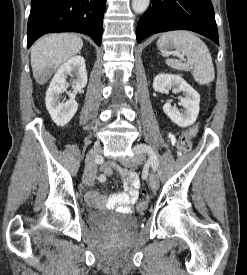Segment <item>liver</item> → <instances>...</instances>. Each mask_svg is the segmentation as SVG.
Here are the masks:
<instances>
[{"mask_svg": "<svg viewBox=\"0 0 247 275\" xmlns=\"http://www.w3.org/2000/svg\"><path fill=\"white\" fill-rule=\"evenodd\" d=\"M83 47L82 39L72 33L50 34L42 37L31 48L33 75L41 82L42 76L78 54Z\"/></svg>", "mask_w": 247, "mask_h": 275, "instance_id": "obj_1", "label": "liver"}]
</instances>
